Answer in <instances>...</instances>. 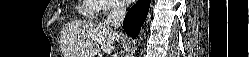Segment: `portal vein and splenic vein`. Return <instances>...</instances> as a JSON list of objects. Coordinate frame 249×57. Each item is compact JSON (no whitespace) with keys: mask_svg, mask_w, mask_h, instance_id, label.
<instances>
[{"mask_svg":"<svg viewBox=\"0 0 249 57\" xmlns=\"http://www.w3.org/2000/svg\"><path fill=\"white\" fill-rule=\"evenodd\" d=\"M94 54H97V51H93Z\"/></svg>","mask_w":249,"mask_h":57,"instance_id":"obj_1","label":"portal vein and splenic vein"}]
</instances>
